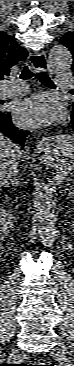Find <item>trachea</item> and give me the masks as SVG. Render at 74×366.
I'll list each match as a JSON object with an SVG mask.
<instances>
[{
  "label": "trachea",
  "instance_id": "trachea-1",
  "mask_svg": "<svg viewBox=\"0 0 74 366\" xmlns=\"http://www.w3.org/2000/svg\"><path fill=\"white\" fill-rule=\"evenodd\" d=\"M34 75H36V77L38 78V80L49 87H55L54 83L52 82V80L49 78L48 74L46 72H39V73H34L28 66H25L20 74V79L22 80H28L31 77H33Z\"/></svg>",
  "mask_w": 74,
  "mask_h": 366
}]
</instances>
